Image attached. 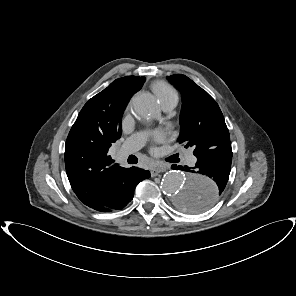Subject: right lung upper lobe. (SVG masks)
I'll list each match as a JSON object with an SVG mask.
<instances>
[{
	"label": "right lung upper lobe",
	"mask_w": 296,
	"mask_h": 296,
	"mask_svg": "<svg viewBox=\"0 0 296 296\" xmlns=\"http://www.w3.org/2000/svg\"><path fill=\"white\" fill-rule=\"evenodd\" d=\"M144 82L139 76L116 79L87 101L69 132L66 173L77 197L90 208L102 202L126 169L114 164L108 150L120 138L123 112Z\"/></svg>",
	"instance_id": "right-lung-upper-lobe-1"
}]
</instances>
